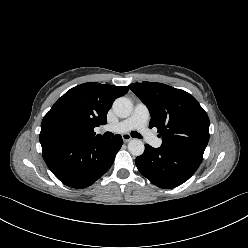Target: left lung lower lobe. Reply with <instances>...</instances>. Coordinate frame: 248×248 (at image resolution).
<instances>
[{
	"instance_id": "left-lung-lower-lobe-1",
	"label": "left lung lower lobe",
	"mask_w": 248,
	"mask_h": 248,
	"mask_svg": "<svg viewBox=\"0 0 248 248\" xmlns=\"http://www.w3.org/2000/svg\"><path fill=\"white\" fill-rule=\"evenodd\" d=\"M202 157L153 148L145 145V151L136 158V166L154 185L170 189L187 181L198 169Z\"/></svg>"
}]
</instances>
